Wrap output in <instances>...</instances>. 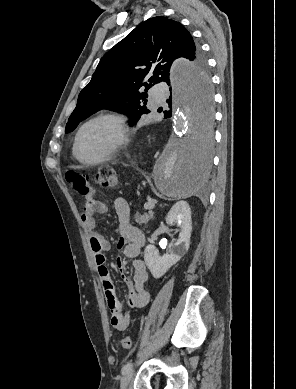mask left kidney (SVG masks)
Wrapping results in <instances>:
<instances>
[{
    "instance_id": "obj_1",
    "label": "left kidney",
    "mask_w": 296,
    "mask_h": 389,
    "mask_svg": "<svg viewBox=\"0 0 296 389\" xmlns=\"http://www.w3.org/2000/svg\"><path fill=\"white\" fill-rule=\"evenodd\" d=\"M168 225L180 228L177 241L171 246L169 253L160 256L153 245H148L144 251V261L154 278H161L188 251L192 232L191 210L186 201L173 205L166 217Z\"/></svg>"
}]
</instances>
